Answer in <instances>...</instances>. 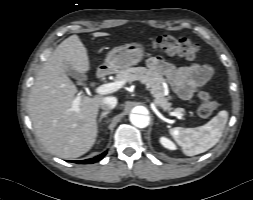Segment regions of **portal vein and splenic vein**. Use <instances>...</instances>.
I'll list each match as a JSON object with an SVG mask.
<instances>
[{
  "instance_id": "18ae733b",
  "label": "portal vein and splenic vein",
  "mask_w": 253,
  "mask_h": 200,
  "mask_svg": "<svg viewBox=\"0 0 253 200\" xmlns=\"http://www.w3.org/2000/svg\"><path fill=\"white\" fill-rule=\"evenodd\" d=\"M123 83H124V80L100 85L94 89V93L99 94V95H105V94L116 92L121 88ZM79 102H80V97H77L73 101V109L75 111H78ZM168 114L170 116H175L178 118L182 117V114L179 112H168Z\"/></svg>"
}]
</instances>
